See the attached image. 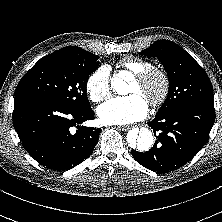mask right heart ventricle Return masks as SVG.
<instances>
[{
    "instance_id": "obj_1",
    "label": "right heart ventricle",
    "mask_w": 222,
    "mask_h": 222,
    "mask_svg": "<svg viewBox=\"0 0 222 222\" xmlns=\"http://www.w3.org/2000/svg\"><path fill=\"white\" fill-rule=\"evenodd\" d=\"M120 65L133 74L140 73L152 67L150 62L135 57L123 59Z\"/></svg>"
}]
</instances>
